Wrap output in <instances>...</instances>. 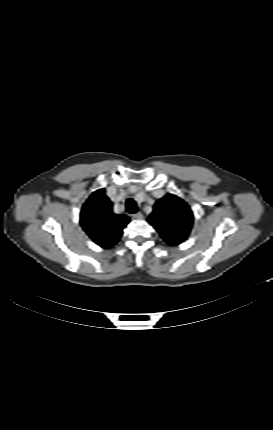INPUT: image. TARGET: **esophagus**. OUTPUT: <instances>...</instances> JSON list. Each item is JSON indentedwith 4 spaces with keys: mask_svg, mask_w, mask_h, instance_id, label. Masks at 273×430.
<instances>
[{
    "mask_svg": "<svg viewBox=\"0 0 273 430\" xmlns=\"http://www.w3.org/2000/svg\"><path fill=\"white\" fill-rule=\"evenodd\" d=\"M132 217L135 219H142L143 214L141 212H137V213L133 214Z\"/></svg>",
    "mask_w": 273,
    "mask_h": 430,
    "instance_id": "esophagus-1",
    "label": "esophagus"
}]
</instances>
